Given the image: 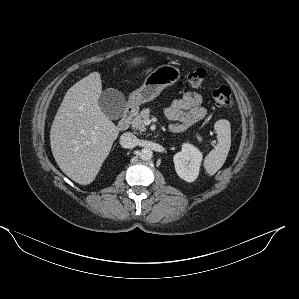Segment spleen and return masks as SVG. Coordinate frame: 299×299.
Returning a JSON list of instances; mask_svg holds the SVG:
<instances>
[{
    "label": "spleen",
    "instance_id": "spleen-1",
    "mask_svg": "<svg viewBox=\"0 0 299 299\" xmlns=\"http://www.w3.org/2000/svg\"><path fill=\"white\" fill-rule=\"evenodd\" d=\"M217 133V145L211 150L204 160L206 172L214 175L225 163L231 146V127L226 119L216 121L214 125Z\"/></svg>",
    "mask_w": 299,
    "mask_h": 299
}]
</instances>
